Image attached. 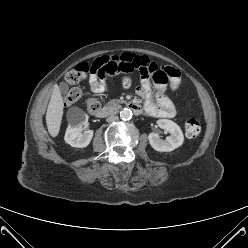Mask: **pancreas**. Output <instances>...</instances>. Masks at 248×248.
<instances>
[{"instance_id": "1", "label": "pancreas", "mask_w": 248, "mask_h": 248, "mask_svg": "<svg viewBox=\"0 0 248 248\" xmlns=\"http://www.w3.org/2000/svg\"><path fill=\"white\" fill-rule=\"evenodd\" d=\"M120 103H121V100L113 99L107 103V108H115L119 106Z\"/></svg>"}]
</instances>
